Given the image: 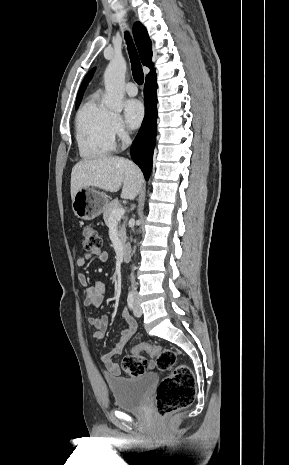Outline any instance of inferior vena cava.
I'll return each mask as SVG.
<instances>
[{
  "instance_id": "602c4592",
  "label": "inferior vena cava",
  "mask_w": 289,
  "mask_h": 465,
  "mask_svg": "<svg viewBox=\"0 0 289 465\" xmlns=\"http://www.w3.org/2000/svg\"><path fill=\"white\" fill-rule=\"evenodd\" d=\"M131 278H132V288H133V294L136 295L137 294V291H136V287H135V279H134V275L133 273L131 274Z\"/></svg>"
}]
</instances>
